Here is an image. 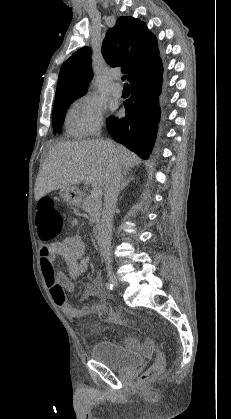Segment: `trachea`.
<instances>
[{"label": "trachea", "instance_id": "obj_1", "mask_svg": "<svg viewBox=\"0 0 231 419\" xmlns=\"http://www.w3.org/2000/svg\"><path fill=\"white\" fill-rule=\"evenodd\" d=\"M126 78H127V76L126 75H123L121 79H122V81H125ZM124 87L125 88H129V85L127 83H125Z\"/></svg>", "mask_w": 231, "mask_h": 419}]
</instances>
